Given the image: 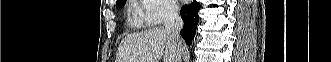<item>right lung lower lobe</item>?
<instances>
[{
  "instance_id": "98d812e1",
  "label": "right lung lower lobe",
  "mask_w": 331,
  "mask_h": 62,
  "mask_svg": "<svg viewBox=\"0 0 331 62\" xmlns=\"http://www.w3.org/2000/svg\"><path fill=\"white\" fill-rule=\"evenodd\" d=\"M199 9L200 4L196 0H193L191 4L183 6L181 10V17L184 21V27L180 31V34L188 45L191 44V41L195 36L199 20Z\"/></svg>"
}]
</instances>
